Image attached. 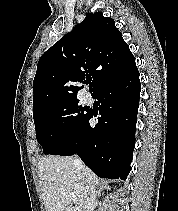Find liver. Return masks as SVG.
<instances>
[{"label":"liver","mask_w":178,"mask_h":211,"mask_svg":"<svg viewBox=\"0 0 178 211\" xmlns=\"http://www.w3.org/2000/svg\"><path fill=\"white\" fill-rule=\"evenodd\" d=\"M79 170L73 157L48 156L38 162V176L46 211H85L86 194L100 185L87 167ZM76 197L75 201L70 196Z\"/></svg>","instance_id":"liver-1"}]
</instances>
